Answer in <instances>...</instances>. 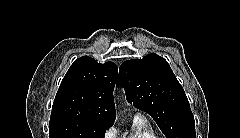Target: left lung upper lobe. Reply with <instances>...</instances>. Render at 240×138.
I'll return each mask as SVG.
<instances>
[{
  "label": "left lung upper lobe",
  "instance_id": "5c2ea615",
  "mask_svg": "<svg viewBox=\"0 0 240 138\" xmlns=\"http://www.w3.org/2000/svg\"><path fill=\"white\" fill-rule=\"evenodd\" d=\"M119 82L128 102L148 113L167 138H196L190 104L164 58L151 53L123 62Z\"/></svg>",
  "mask_w": 240,
  "mask_h": 138
}]
</instances>
